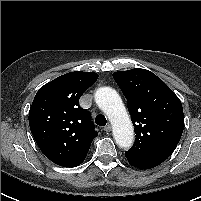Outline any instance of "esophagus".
<instances>
[{
  "label": "esophagus",
  "mask_w": 201,
  "mask_h": 201,
  "mask_svg": "<svg viewBox=\"0 0 201 201\" xmlns=\"http://www.w3.org/2000/svg\"><path fill=\"white\" fill-rule=\"evenodd\" d=\"M104 130H105L106 132H110V131H111V125H110V124L106 125V126L104 127Z\"/></svg>",
  "instance_id": "34e87169"
}]
</instances>
